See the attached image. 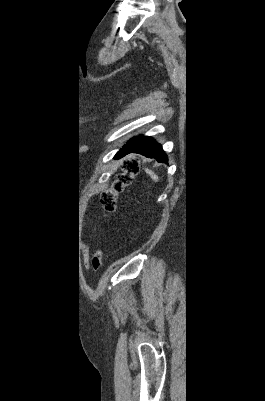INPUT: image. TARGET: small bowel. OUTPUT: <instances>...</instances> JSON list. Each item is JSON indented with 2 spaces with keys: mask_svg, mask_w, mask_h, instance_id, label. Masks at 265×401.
<instances>
[{
  "mask_svg": "<svg viewBox=\"0 0 265 401\" xmlns=\"http://www.w3.org/2000/svg\"><path fill=\"white\" fill-rule=\"evenodd\" d=\"M84 262L87 264L88 263V254H87V251L85 250V253H84Z\"/></svg>",
  "mask_w": 265,
  "mask_h": 401,
  "instance_id": "obj_1",
  "label": "small bowel"
}]
</instances>
